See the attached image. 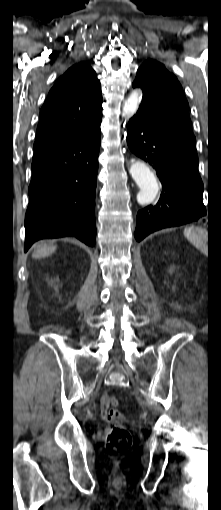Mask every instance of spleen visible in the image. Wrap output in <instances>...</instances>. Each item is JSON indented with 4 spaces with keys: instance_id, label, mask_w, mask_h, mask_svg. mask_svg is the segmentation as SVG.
Here are the masks:
<instances>
[{
    "instance_id": "1",
    "label": "spleen",
    "mask_w": 221,
    "mask_h": 510,
    "mask_svg": "<svg viewBox=\"0 0 221 510\" xmlns=\"http://www.w3.org/2000/svg\"><path fill=\"white\" fill-rule=\"evenodd\" d=\"M184 235L202 253L207 252V231L200 227H188L184 229Z\"/></svg>"
}]
</instances>
